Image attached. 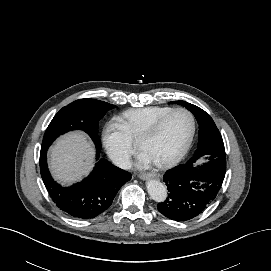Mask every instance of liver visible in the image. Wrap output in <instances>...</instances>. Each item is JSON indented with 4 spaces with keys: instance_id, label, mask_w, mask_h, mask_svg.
<instances>
[{
    "instance_id": "1",
    "label": "liver",
    "mask_w": 271,
    "mask_h": 271,
    "mask_svg": "<svg viewBox=\"0 0 271 271\" xmlns=\"http://www.w3.org/2000/svg\"><path fill=\"white\" fill-rule=\"evenodd\" d=\"M95 149L84 133H68L51 149L50 169L56 180L65 184L80 181L92 170Z\"/></svg>"
}]
</instances>
